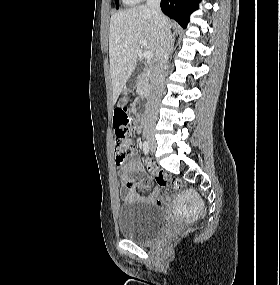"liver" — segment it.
I'll return each instance as SVG.
<instances>
[{
    "instance_id": "1",
    "label": "liver",
    "mask_w": 280,
    "mask_h": 285,
    "mask_svg": "<svg viewBox=\"0 0 280 285\" xmlns=\"http://www.w3.org/2000/svg\"><path fill=\"white\" fill-rule=\"evenodd\" d=\"M166 20L171 28L172 22L167 18ZM140 39L147 41V51L155 53L156 27L153 14L146 5L131 7L112 15L109 29V60L113 103H116L137 65Z\"/></svg>"
}]
</instances>
